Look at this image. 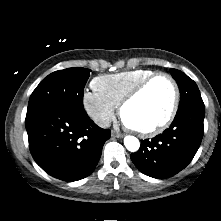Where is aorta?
Returning a JSON list of instances; mask_svg holds the SVG:
<instances>
[{
  "label": "aorta",
  "instance_id": "aorta-1",
  "mask_svg": "<svg viewBox=\"0 0 221 221\" xmlns=\"http://www.w3.org/2000/svg\"><path fill=\"white\" fill-rule=\"evenodd\" d=\"M124 145L128 151L136 152L140 147V142L134 136H126L124 138Z\"/></svg>",
  "mask_w": 221,
  "mask_h": 221
}]
</instances>
